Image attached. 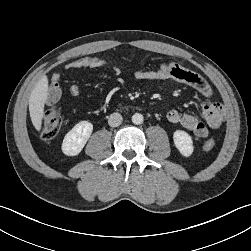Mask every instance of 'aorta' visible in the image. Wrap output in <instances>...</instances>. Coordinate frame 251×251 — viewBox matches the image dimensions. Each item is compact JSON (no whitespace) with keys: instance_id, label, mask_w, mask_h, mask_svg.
<instances>
[{"instance_id":"aorta-1","label":"aorta","mask_w":251,"mask_h":251,"mask_svg":"<svg viewBox=\"0 0 251 251\" xmlns=\"http://www.w3.org/2000/svg\"><path fill=\"white\" fill-rule=\"evenodd\" d=\"M132 122L135 124V125H140L143 123V115L140 114V113H135L133 116H132Z\"/></svg>"}]
</instances>
